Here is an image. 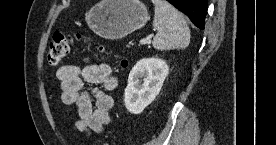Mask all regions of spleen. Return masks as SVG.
<instances>
[{"label": "spleen", "mask_w": 276, "mask_h": 145, "mask_svg": "<svg viewBox=\"0 0 276 145\" xmlns=\"http://www.w3.org/2000/svg\"><path fill=\"white\" fill-rule=\"evenodd\" d=\"M153 27L158 33L153 47L158 50L185 49L190 43V29L182 14L166 0H153Z\"/></svg>", "instance_id": "1"}]
</instances>
